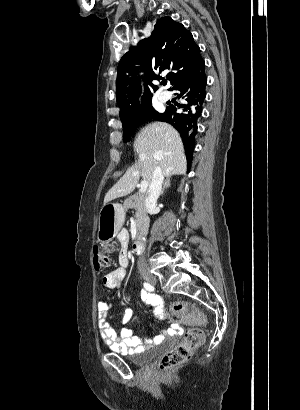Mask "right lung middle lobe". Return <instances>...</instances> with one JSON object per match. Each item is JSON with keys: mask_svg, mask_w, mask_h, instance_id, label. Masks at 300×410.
I'll list each match as a JSON object with an SVG mask.
<instances>
[{"mask_svg": "<svg viewBox=\"0 0 300 410\" xmlns=\"http://www.w3.org/2000/svg\"><path fill=\"white\" fill-rule=\"evenodd\" d=\"M158 114L159 113L152 107L150 101V103L145 106L136 117L123 122L124 142H128L130 140L131 135L134 133L137 127H139L145 121L154 118Z\"/></svg>", "mask_w": 300, "mask_h": 410, "instance_id": "right-lung-middle-lobe-1", "label": "right lung middle lobe"}]
</instances>
